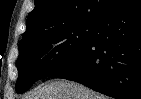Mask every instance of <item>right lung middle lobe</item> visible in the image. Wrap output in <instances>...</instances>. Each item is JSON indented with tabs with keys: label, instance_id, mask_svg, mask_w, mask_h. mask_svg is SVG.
<instances>
[{
	"label": "right lung middle lobe",
	"instance_id": "dd1d6c3e",
	"mask_svg": "<svg viewBox=\"0 0 141 99\" xmlns=\"http://www.w3.org/2000/svg\"><path fill=\"white\" fill-rule=\"evenodd\" d=\"M97 27V21L77 22L20 43L17 93L68 64L92 40Z\"/></svg>",
	"mask_w": 141,
	"mask_h": 99
}]
</instances>
